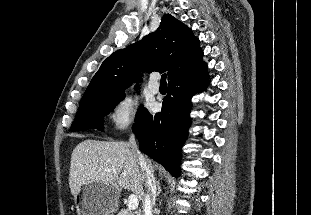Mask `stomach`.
<instances>
[{"instance_id": "0dacf381", "label": "stomach", "mask_w": 311, "mask_h": 215, "mask_svg": "<svg viewBox=\"0 0 311 215\" xmlns=\"http://www.w3.org/2000/svg\"><path fill=\"white\" fill-rule=\"evenodd\" d=\"M119 190L101 182H88L74 197L79 215H114L118 208Z\"/></svg>"}]
</instances>
